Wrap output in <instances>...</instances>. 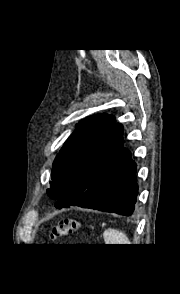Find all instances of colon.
Here are the masks:
<instances>
[{
    "mask_svg": "<svg viewBox=\"0 0 180 294\" xmlns=\"http://www.w3.org/2000/svg\"><path fill=\"white\" fill-rule=\"evenodd\" d=\"M79 222L72 218L61 219L51 228L50 238L55 241L63 236L73 234L79 229Z\"/></svg>",
    "mask_w": 180,
    "mask_h": 294,
    "instance_id": "obj_1",
    "label": "colon"
}]
</instances>
